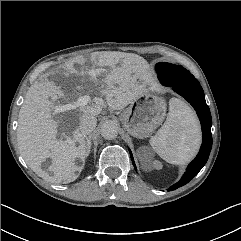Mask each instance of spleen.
Wrapping results in <instances>:
<instances>
[{"label": "spleen", "mask_w": 241, "mask_h": 241, "mask_svg": "<svg viewBox=\"0 0 241 241\" xmlns=\"http://www.w3.org/2000/svg\"><path fill=\"white\" fill-rule=\"evenodd\" d=\"M200 143V125L193 109L183 100L171 98L166 121L151 137L150 145L165 161L185 164L194 158Z\"/></svg>", "instance_id": "spleen-1"}]
</instances>
